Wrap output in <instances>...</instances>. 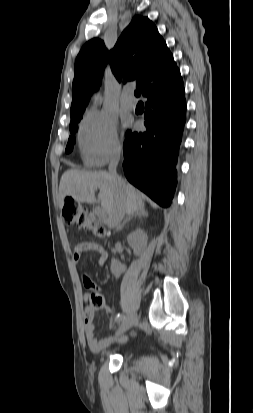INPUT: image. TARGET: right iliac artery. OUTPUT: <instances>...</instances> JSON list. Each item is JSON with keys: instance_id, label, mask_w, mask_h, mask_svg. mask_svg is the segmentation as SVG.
<instances>
[{"instance_id": "82829eb1", "label": "right iliac artery", "mask_w": 253, "mask_h": 413, "mask_svg": "<svg viewBox=\"0 0 253 413\" xmlns=\"http://www.w3.org/2000/svg\"><path fill=\"white\" fill-rule=\"evenodd\" d=\"M125 319H126V316H125V315L118 314V315L116 316V320H117L118 322L123 321V320H125Z\"/></svg>"}]
</instances>
